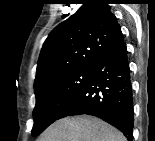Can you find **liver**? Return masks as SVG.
<instances>
[{"instance_id":"6515ba94","label":"liver","mask_w":155,"mask_h":141,"mask_svg":"<svg viewBox=\"0 0 155 141\" xmlns=\"http://www.w3.org/2000/svg\"><path fill=\"white\" fill-rule=\"evenodd\" d=\"M39 141H126L124 135L93 116L62 118L48 127Z\"/></svg>"}]
</instances>
